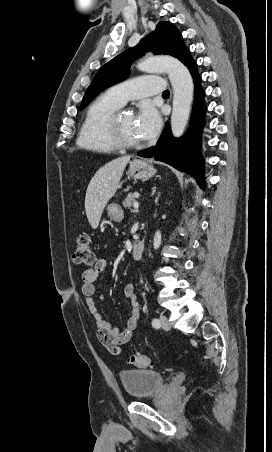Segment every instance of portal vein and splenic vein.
I'll return each instance as SVG.
<instances>
[{
    "instance_id": "1",
    "label": "portal vein and splenic vein",
    "mask_w": 272,
    "mask_h": 452,
    "mask_svg": "<svg viewBox=\"0 0 272 452\" xmlns=\"http://www.w3.org/2000/svg\"><path fill=\"white\" fill-rule=\"evenodd\" d=\"M133 207H134V209H137L139 207V203L138 202H134Z\"/></svg>"
}]
</instances>
